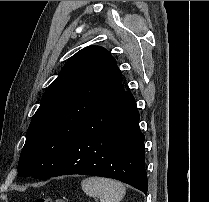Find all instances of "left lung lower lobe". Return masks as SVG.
<instances>
[{
	"mask_svg": "<svg viewBox=\"0 0 209 202\" xmlns=\"http://www.w3.org/2000/svg\"><path fill=\"white\" fill-rule=\"evenodd\" d=\"M139 118L132 93L124 91L84 122L51 177H108L147 194L145 137L139 128Z\"/></svg>",
	"mask_w": 209,
	"mask_h": 202,
	"instance_id": "0a47b994",
	"label": "left lung lower lobe"
}]
</instances>
